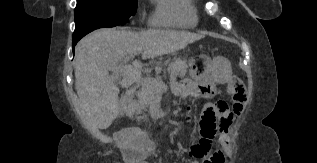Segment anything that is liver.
<instances>
[{
    "instance_id": "1",
    "label": "liver",
    "mask_w": 317,
    "mask_h": 163,
    "mask_svg": "<svg viewBox=\"0 0 317 163\" xmlns=\"http://www.w3.org/2000/svg\"><path fill=\"white\" fill-rule=\"evenodd\" d=\"M202 38L188 31L115 28L98 29L82 38L75 49V89L81 112L92 128L107 129L112 124L119 112L118 84L128 87L136 75L141 76L139 60L124 66L120 81L109 74L110 67L139 54L147 59L173 53Z\"/></svg>"
}]
</instances>
